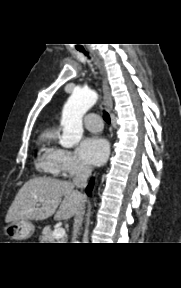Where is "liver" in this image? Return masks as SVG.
Instances as JSON below:
<instances>
[{"instance_id": "6515ba94", "label": "liver", "mask_w": 181, "mask_h": 288, "mask_svg": "<svg viewBox=\"0 0 181 288\" xmlns=\"http://www.w3.org/2000/svg\"><path fill=\"white\" fill-rule=\"evenodd\" d=\"M85 202L86 196L75 190L70 181L33 178L18 191L5 221H42L53 214L56 221L68 220L76 215Z\"/></svg>"}]
</instances>
